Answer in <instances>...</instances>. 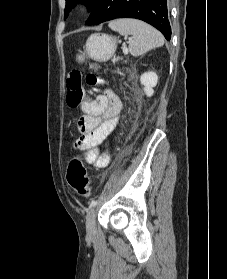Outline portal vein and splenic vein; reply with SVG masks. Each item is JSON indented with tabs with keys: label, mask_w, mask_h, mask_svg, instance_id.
Instances as JSON below:
<instances>
[{
	"label": "portal vein and splenic vein",
	"mask_w": 227,
	"mask_h": 279,
	"mask_svg": "<svg viewBox=\"0 0 227 279\" xmlns=\"http://www.w3.org/2000/svg\"><path fill=\"white\" fill-rule=\"evenodd\" d=\"M123 53L125 54V55H127L128 54V49H127V47L126 46H123Z\"/></svg>",
	"instance_id": "obj_1"
}]
</instances>
